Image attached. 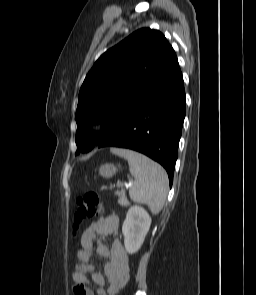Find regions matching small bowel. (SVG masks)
I'll return each instance as SVG.
<instances>
[{
  "label": "small bowel",
  "instance_id": "c3829d8e",
  "mask_svg": "<svg viewBox=\"0 0 256 295\" xmlns=\"http://www.w3.org/2000/svg\"><path fill=\"white\" fill-rule=\"evenodd\" d=\"M118 228V215L110 214L84 230L82 247L76 253L79 262L71 275L75 295H116L127 282L128 255L122 243L115 241L111 248L101 243V239L116 234ZM95 252L108 258L103 266V274L96 271L92 261Z\"/></svg>",
  "mask_w": 256,
  "mask_h": 295
}]
</instances>
